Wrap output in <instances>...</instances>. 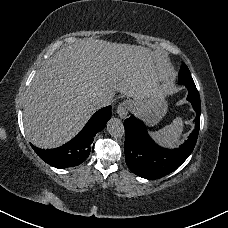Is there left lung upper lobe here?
<instances>
[{
  "instance_id": "1",
  "label": "left lung upper lobe",
  "mask_w": 228,
  "mask_h": 228,
  "mask_svg": "<svg viewBox=\"0 0 228 228\" xmlns=\"http://www.w3.org/2000/svg\"><path fill=\"white\" fill-rule=\"evenodd\" d=\"M187 78H192L189 69L183 63L179 72V81L181 84H184Z\"/></svg>"
}]
</instances>
